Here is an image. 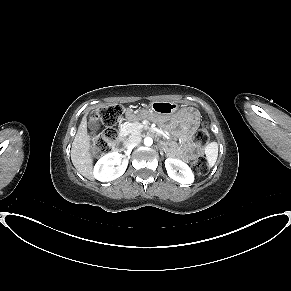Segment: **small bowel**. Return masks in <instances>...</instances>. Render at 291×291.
<instances>
[{"label": "small bowel", "mask_w": 291, "mask_h": 291, "mask_svg": "<svg viewBox=\"0 0 291 291\" xmlns=\"http://www.w3.org/2000/svg\"><path fill=\"white\" fill-rule=\"evenodd\" d=\"M127 118L131 119L133 114L130 110L126 112ZM173 119L167 124V130L178 142H172L168 146V153L171 157L179 160H190L194 158L198 151L192 143V134L201 117L199 108L195 106H185L176 108L172 112ZM159 121H164L165 117H158Z\"/></svg>", "instance_id": "obj_1"}]
</instances>
